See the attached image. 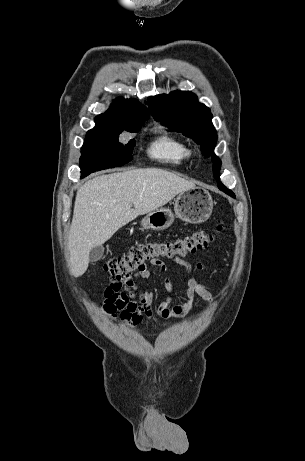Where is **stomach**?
I'll list each match as a JSON object with an SVG mask.
<instances>
[{
  "instance_id": "obj_1",
  "label": "stomach",
  "mask_w": 305,
  "mask_h": 461,
  "mask_svg": "<svg viewBox=\"0 0 305 461\" xmlns=\"http://www.w3.org/2000/svg\"><path fill=\"white\" fill-rule=\"evenodd\" d=\"M212 210L213 200L210 193L195 187L178 194L174 204L175 213L169 208H158L141 220V226L143 229L165 230L173 224L175 217L187 223L199 224L210 217Z\"/></svg>"
}]
</instances>
